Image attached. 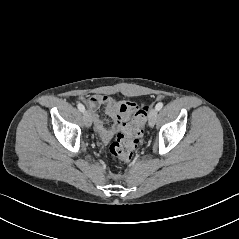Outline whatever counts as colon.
<instances>
[{"label": "colon", "instance_id": "colon-1", "mask_svg": "<svg viewBox=\"0 0 239 239\" xmlns=\"http://www.w3.org/2000/svg\"><path fill=\"white\" fill-rule=\"evenodd\" d=\"M148 107L140 108L130 122H125L121 133L110 146L112 156L121 161L131 160L143 135Z\"/></svg>", "mask_w": 239, "mask_h": 239}]
</instances>
